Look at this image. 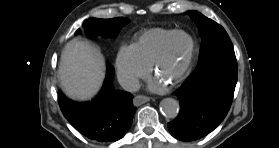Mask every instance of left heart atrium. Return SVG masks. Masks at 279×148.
Here are the masks:
<instances>
[{"label": "left heart atrium", "instance_id": "1", "mask_svg": "<svg viewBox=\"0 0 279 148\" xmlns=\"http://www.w3.org/2000/svg\"><path fill=\"white\" fill-rule=\"evenodd\" d=\"M166 87V82L162 81V80H154L153 82H151L149 88L152 91H161Z\"/></svg>", "mask_w": 279, "mask_h": 148}]
</instances>
